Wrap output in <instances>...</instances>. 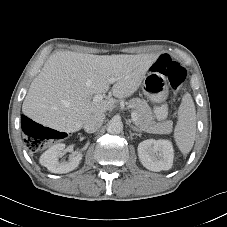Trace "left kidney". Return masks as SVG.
<instances>
[{"label":"left kidney","mask_w":227,"mask_h":227,"mask_svg":"<svg viewBox=\"0 0 227 227\" xmlns=\"http://www.w3.org/2000/svg\"><path fill=\"white\" fill-rule=\"evenodd\" d=\"M138 156L148 170H169L173 165L174 150L169 140L148 139L138 145Z\"/></svg>","instance_id":"5707ae66"}]
</instances>
